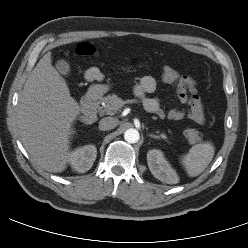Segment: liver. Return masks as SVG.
Here are the masks:
<instances>
[{"label": "liver", "mask_w": 248, "mask_h": 248, "mask_svg": "<svg viewBox=\"0 0 248 248\" xmlns=\"http://www.w3.org/2000/svg\"><path fill=\"white\" fill-rule=\"evenodd\" d=\"M81 111L47 52L28 76L17 109L21 142L42 169L67 168L72 126Z\"/></svg>", "instance_id": "liver-1"}]
</instances>
